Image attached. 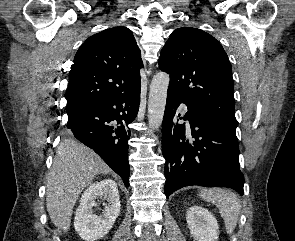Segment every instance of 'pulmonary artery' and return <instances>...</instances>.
I'll return each mask as SVG.
<instances>
[{"mask_svg": "<svg viewBox=\"0 0 295 241\" xmlns=\"http://www.w3.org/2000/svg\"><path fill=\"white\" fill-rule=\"evenodd\" d=\"M182 110H183V112H186V106H182Z\"/></svg>", "mask_w": 295, "mask_h": 241, "instance_id": "1", "label": "pulmonary artery"}]
</instances>
